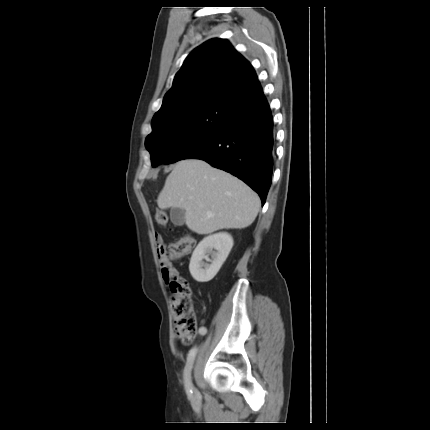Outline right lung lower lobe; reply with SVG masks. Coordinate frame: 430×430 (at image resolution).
<instances>
[{"instance_id": "right-lung-lower-lobe-1", "label": "right lung lower lobe", "mask_w": 430, "mask_h": 430, "mask_svg": "<svg viewBox=\"0 0 430 430\" xmlns=\"http://www.w3.org/2000/svg\"><path fill=\"white\" fill-rule=\"evenodd\" d=\"M274 143L273 117L261 88L253 102L231 109L222 131L184 159H201L233 174L256 191L264 205L271 185Z\"/></svg>"}]
</instances>
